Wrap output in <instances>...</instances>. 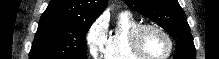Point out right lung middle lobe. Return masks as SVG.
Masks as SVG:
<instances>
[{
	"label": "right lung middle lobe",
	"mask_w": 219,
	"mask_h": 59,
	"mask_svg": "<svg viewBox=\"0 0 219 59\" xmlns=\"http://www.w3.org/2000/svg\"><path fill=\"white\" fill-rule=\"evenodd\" d=\"M93 21L41 18L29 59H87L86 33Z\"/></svg>",
	"instance_id": "1"
}]
</instances>
